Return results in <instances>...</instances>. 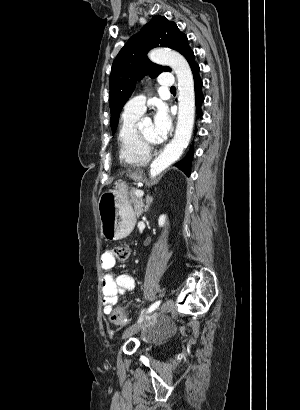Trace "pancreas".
Here are the masks:
<instances>
[{
    "label": "pancreas",
    "mask_w": 300,
    "mask_h": 410,
    "mask_svg": "<svg viewBox=\"0 0 300 410\" xmlns=\"http://www.w3.org/2000/svg\"><path fill=\"white\" fill-rule=\"evenodd\" d=\"M135 191H136V189H133V190L131 191V194H130L131 199H130V201H131V203H132L133 206H134V210H135L136 216H137V217H140L141 214L143 213V202H142V199H140V198H138V197H136V196L134 195V192H135Z\"/></svg>",
    "instance_id": "1"
}]
</instances>
